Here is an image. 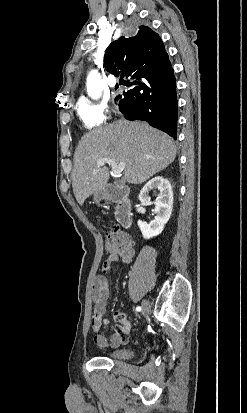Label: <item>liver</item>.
Masks as SVG:
<instances>
[{
    "label": "liver",
    "instance_id": "6515ba94",
    "mask_svg": "<svg viewBox=\"0 0 247 413\" xmlns=\"http://www.w3.org/2000/svg\"><path fill=\"white\" fill-rule=\"evenodd\" d=\"M176 152L173 138L148 122L120 118L93 128L81 136L74 154L72 186L76 200L83 204L87 196L106 186L109 168L97 166L98 158L126 162L124 178L140 184L171 164Z\"/></svg>",
    "mask_w": 247,
    "mask_h": 413
}]
</instances>
